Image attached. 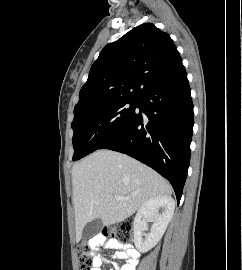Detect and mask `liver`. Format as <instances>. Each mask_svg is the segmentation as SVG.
Wrapping results in <instances>:
<instances>
[{
	"instance_id": "obj_1",
	"label": "liver",
	"mask_w": 242,
	"mask_h": 270,
	"mask_svg": "<svg viewBox=\"0 0 242 270\" xmlns=\"http://www.w3.org/2000/svg\"><path fill=\"white\" fill-rule=\"evenodd\" d=\"M76 241L85 225L100 218L105 226L124 221L143 203L170 196V184L151 168L112 150H98L72 167ZM115 195L126 200H116Z\"/></svg>"
}]
</instances>
